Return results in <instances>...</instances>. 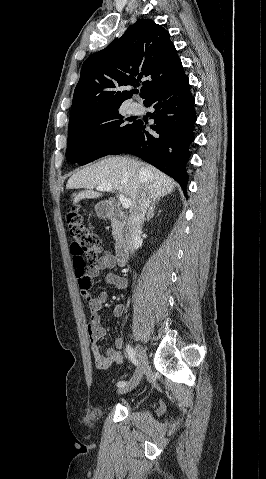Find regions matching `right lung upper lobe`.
Returning a JSON list of instances; mask_svg holds the SVG:
<instances>
[{"label": "right lung upper lobe", "instance_id": "1", "mask_svg": "<svg viewBox=\"0 0 266 479\" xmlns=\"http://www.w3.org/2000/svg\"><path fill=\"white\" fill-rule=\"evenodd\" d=\"M169 32L151 19H139L105 49L83 63L74 91L70 120L117 109L133 95L120 86L146 79L140 94L147 99L184 74Z\"/></svg>", "mask_w": 266, "mask_h": 479}]
</instances>
